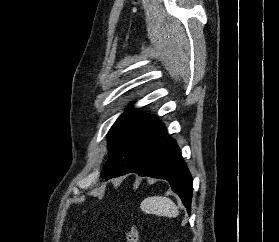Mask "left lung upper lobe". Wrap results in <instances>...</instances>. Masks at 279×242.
<instances>
[{
  "label": "left lung upper lobe",
  "instance_id": "obj_1",
  "mask_svg": "<svg viewBox=\"0 0 279 242\" xmlns=\"http://www.w3.org/2000/svg\"><path fill=\"white\" fill-rule=\"evenodd\" d=\"M166 137L163 123L153 116L128 108L108 132L109 161L103 177L121 176L131 163Z\"/></svg>",
  "mask_w": 279,
  "mask_h": 242
}]
</instances>
